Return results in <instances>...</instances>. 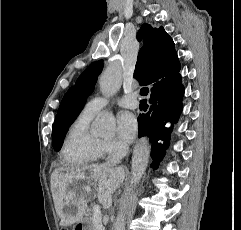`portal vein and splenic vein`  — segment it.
Here are the masks:
<instances>
[{
    "instance_id": "portal-vein-and-splenic-vein-1",
    "label": "portal vein and splenic vein",
    "mask_w": 241,
    "mask_h": 230,
    "mask_svg": "<svg viewBox=\"0 0 241 230\" xmlns=\"http://www.w3.org/2000/svg\"><path fill=\"white\" fill-rule=\"evenodd\" d=\"M105 203L110 204L109 201L104 200ZM93 222L94 224L99 228V230H102V213L100 211V207L99 206H95L94 207V213H93Z\"/></svg>"
}]
</instances>
